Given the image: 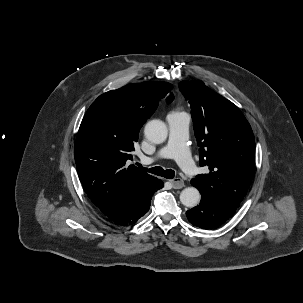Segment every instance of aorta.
Segmentation results:
<instances>
[{"mask_svg":"<svg viewBox=\"0 0 303 303\" xmlns=\"http://www.w3.org/2000/svg\"><path fill=\"white\" fill-rule=\"evenodd\" d=\"M145 137L154 144L163 143L168 135V130L164 122L160 120L149 121L144 129ZM200 192L195 187H187L180 194L181 203L189 208L197 206L200 202Z\"/></svg>","mask_w":303,"mask_h":303,"instance_id":"aorta-1","label":"aorta"}]
</instances>
